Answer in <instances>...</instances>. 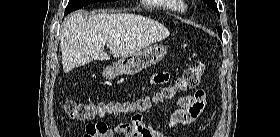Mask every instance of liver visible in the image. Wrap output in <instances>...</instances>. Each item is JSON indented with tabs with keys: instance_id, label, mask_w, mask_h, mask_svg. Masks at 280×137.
Instances as JSON below:
<instances>
[{
	"instance_id": "liver-1",
	"label": "liver",
	"mask_w": 280,
	"mask_h": 137,
	"mask_svg": "<svg viewBox=\"0 0 280 137\" xmlns=\"http://www.w3.org/2000/svg\"><path fill=\"white\" fill-rule=\"evenodd\" d=\"M169 35L163 24L141 15L99 13L87 16L75 12L62 24L63 71L68 73L93 60H109L103 51L105 45L113 57H124Z\"/></svg>"
}]
</instances>
